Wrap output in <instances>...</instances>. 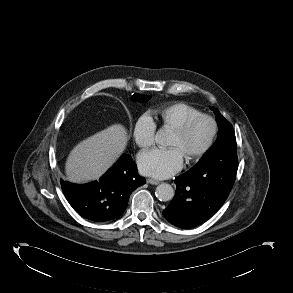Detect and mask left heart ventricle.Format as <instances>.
<instances>
[{
    "instance_id": "left-heart-ventricle-1",
    "label": "left heart ventricle",
    "mask_w": 293,
    "mask_h": 293,
    "mask_svg": "<svg viewBox=\"0 0 293 293\" xmlns=\"http://www.w3.org/2000/svg\"><path fill=\"white\" fill-rule=\"evenodd\" d=\"M211 133V125L207 120L200 121L186 137L173 134L169 145L178 148L183 156L191 155L201 149Z\"/></svg>"
}]
</instances>
